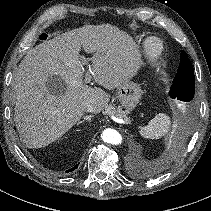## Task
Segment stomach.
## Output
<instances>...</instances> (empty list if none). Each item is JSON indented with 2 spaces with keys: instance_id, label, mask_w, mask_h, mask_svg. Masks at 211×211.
<instances>
[{
  "instance_id": "stomach-1",
  "label": "stomach",
  "mask_w": 211,
  "mask_h": 211,
  "mask_svg": "<svg viewBox=\"0 0 211 211\" xmlns=\"http://www.w3.org/2000/svg\"><path fill=\"white\" fill-rule=\"evenodd\" d=\"M117 95L121 107L128 114L138 104L142 96V90L137 83L128 80L117 88Z\"/></svg>"
}]
</instances>
